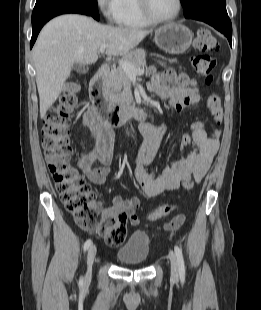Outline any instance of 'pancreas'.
I'll list each match as a JSON object with an SVG mask.
<instances>
[{"label": "pancreas", "mask_w": 261, "mask_h": 310, "mask_svg": "<svg viewBox=\"0 0 261 310\" xmlns=\"http://www.w3.org/2000/svg\"><path fill=\"white\" fill-rule=\"evenodd\" d=\"M146 53L138 49L125 55L122 60L127 61L135 68H142L146 65ZM107 86L110 98L116 103H132L131 83L127 73L119 65L113 68L107 77Z\"/></svg>", "instance_id": "1"}]
</instances>
